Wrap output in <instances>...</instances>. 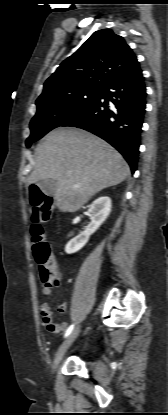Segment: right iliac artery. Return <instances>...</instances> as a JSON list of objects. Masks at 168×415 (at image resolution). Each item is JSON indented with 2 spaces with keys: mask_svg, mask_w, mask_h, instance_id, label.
<instances>
[{
  "mask_svg": "<svg viewBox=\"0 0 168 415\" xmlns=\"http://www.w3.org/2000/svg\"><path fill=\"white\" fill-rule=\"evenodd\" d=\"M73 329H74V324H72L68 327V329L65 332L64 337H67L73 331Z\"/></svg>",
  "mask_w": 168,
  "mask_h": 415,
  "instance_id": "1",
  "label": "right iliac artery"
}]
</instances>
